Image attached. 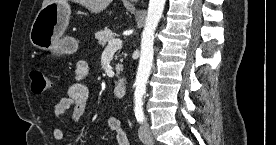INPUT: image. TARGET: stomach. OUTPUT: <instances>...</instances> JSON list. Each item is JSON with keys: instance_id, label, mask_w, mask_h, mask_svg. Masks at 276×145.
<instances>
[{"instance_id": "0dacf381", "label": "stomach", "mask_w": 276, "mask_h": 145, "mask_svg": "<svg viewBox=\"0 0 276 145\" xmlns=\"http://www.w3.org/2000/svg\"><path fill=\"white\" fill-rule=\"evenodd\" d=\"M70 14V5L65 1L53 0L42 7L31 26V43L41 50H50L56 54L76 51L78 41L64 36Z\"/></svg>"}]
</instances>
